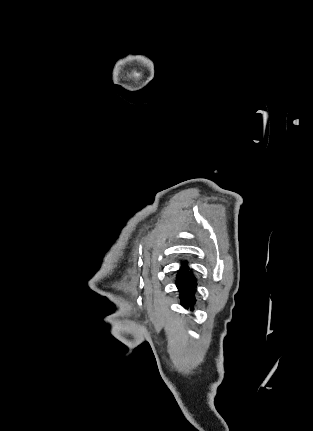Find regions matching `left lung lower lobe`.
<instances>
[{"mask_svg": "<svg viewBox=\"0 0 313 431\" xmlns=\"http://www.w3.org/2000/svg\"><path fill=\"white\" fill-rule=\"evenodd\" d=\"M176 285L180 291L181 304L185 308L193 310L196 303L195 288L197 284L192 271L185 262L178 272Z\"/></svg>", "mask_w": 313, "mask_h": 431, "instance_id": "1", "label": "left lung lower lobe"}]
</instances>
